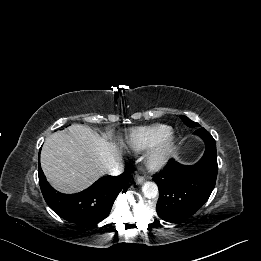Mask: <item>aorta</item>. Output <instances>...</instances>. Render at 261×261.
<instances>
[{
  "instance_id": "aorta-1",
  "label": "aorta",
  "mask_w": 261,
  "mask_h": 261,
  "mask_svg": "<svg viewBox=\"0 0 261 261\" xmlns=\"http://www.w3.org/2000/svg\"><path fill=\"white\" fill-rule=\"evenodd\" d=\"M142 192L147 198H155L158 196V186L154 182H145Z\"/></svg>"
}]
</instances>
